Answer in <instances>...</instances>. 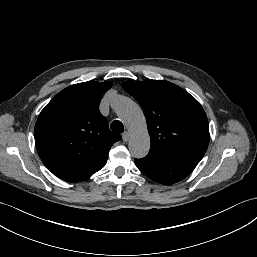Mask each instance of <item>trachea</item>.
Masks as SVG:
<instances>
[{"instance_id":"1","label":"trachea","mask_w":257,"mask_h":257,"mask_svg":"<svg viewBox=\"0 0 257 257\" xmlns=\"http://www.w3.org/2000/svg\"><path fill=\"white\" fill-rule=\"evenodd\" d=\"M112 131L116 132V133H123L124 131V126L122 124V122H120L119 120H114L111 125H110Z\"/></svg>"}]
</instances>
